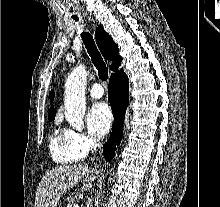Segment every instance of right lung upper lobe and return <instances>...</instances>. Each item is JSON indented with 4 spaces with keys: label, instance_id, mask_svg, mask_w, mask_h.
Segmentation results:
<instances>
[{
    "label": "right lung upper lobe",
    "instance_id": "right-lung-upper-lobe-1",
    "mask_svg": "<svg viewBox=\"0 0 220 207\" xmlns=\"http://www.w3.org/2000/svg\"><path fill=\"white\" fill-rule=\"evenodd\" d=\"M95 38L99 50L101 51L104 58L106 60H112L115 62L110 66V68L112 69L115 66V64L122 59L119 55L118 46L113 42L111 36L108 33H106L101 26L97 27V30L95 32ZM49 97H50V102H52L54 99L53 90L49 92ZM54 118H55V110L54 107L51 106L48 113V119L51 121L54 120Z\"/></svg>",
    "mask_w": 220,
    "mask_h": 207
}]
</instances>
